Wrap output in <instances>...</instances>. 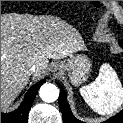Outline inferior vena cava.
Segmentation results:
<instances>
[{"instance_id":"1","label":"inferior vena cava","mask_w":123,"mask_h":123,"mask_svg":"<svg viewBox=\"0 0 123 123\" xmlns=\"http://www.w3.org/2000/svg\"><path fill=\"white\" fill-rule=\"evenodd\" d=\"M36 69H37V67L35 65L31 66L30 69H29V73L35 72Z\"/></svg>"}]
</instances>
